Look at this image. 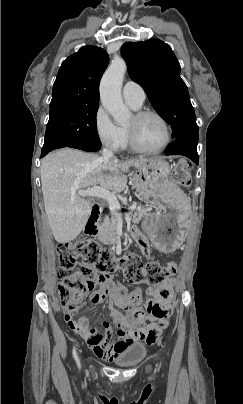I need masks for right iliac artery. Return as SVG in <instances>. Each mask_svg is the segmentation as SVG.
I'll return each mask as SVG.
<instances>
[{
  "label": "right iliac artery",
  "instance_id": "obj_1",
  "mask_svg": "<svg viewBox=\"0 0 243 404\" xmlns=\"http://www.w3.org/2000/svg\"><path fill=\"white\" fill-rule=\"evenodd\" d=\"M73 357H74V359L76 360V363H77L78 367L80 368V361H79V359H78V355H77V353H76L75 347L73 348Z\"/></svg>",
  "mask_w": 243,
  "mask_h": 404
}]
</instances>
